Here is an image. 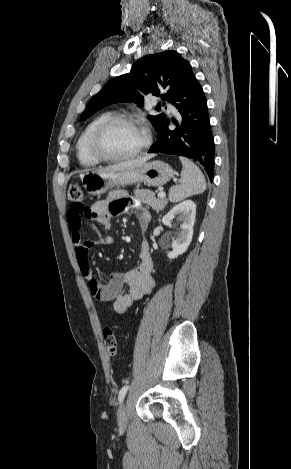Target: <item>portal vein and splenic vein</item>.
I'll use <instances>...</instances> for the list:
<instances>
[{"instance_id":"obj_1","label":"portal vein and splenic vein","mask_w":291,"mask_h":469,"mask_svg":"<svg viewBox=\"0 0 291 469\" xmlns=\"http://www.w3.org/2000/svg\"><path fill=\"white\" fill-rule=\"evenodd\" d=\"M166 194L165 192H159L158 197L159 198H165Z\"/></svg>"}]
</instances>
